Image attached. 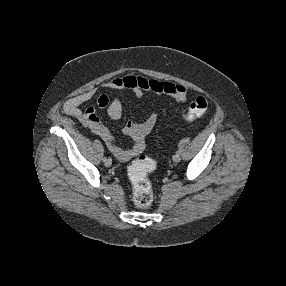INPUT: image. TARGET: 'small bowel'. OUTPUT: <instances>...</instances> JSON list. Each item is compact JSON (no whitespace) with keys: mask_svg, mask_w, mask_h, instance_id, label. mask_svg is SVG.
Here are the masks:
<instances>
[{"mask_svg":"<svg viewBox=\"0 0 286 286\" xmlns=\"http://www.w3.org/2000/svg\"><path fill=\"white\" fill-rule=\"evenodd\" d=\"M102 87L114 91L131 90L138 98H141L147 92L166 95L177 103H184L188 98V89L181 84L148 79L134 74L113 77L106 81ZM95 92L96 89H91L69 100L63 107L64 113L76 118L93 134L101 137L109 151L119 160L128 161L140 155L146 148V138L154 128L158 114L152 113L142 123L128 121L123 128V132L132 139L133 144L124 147L116 142L110 130L103 125L93 108H82L86 102L93 98ZM98 104L107 109V114L111 119L118 120L121 118L123 106L118 97L110 100L106 95H101L98 98Z\"/></svg>","mask_w":286,"mask_h":286,"instance_id":"1","label":"small bowel"}]
</instances>
